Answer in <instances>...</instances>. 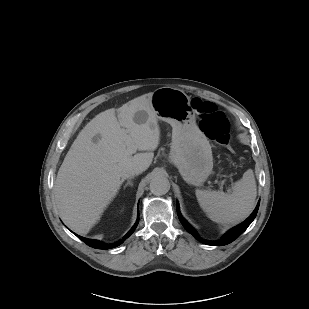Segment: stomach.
Returning <instances> with one entry per match:
<instances>
[{"mask_svg":"<svg viewBox=\"0 0 309 309\" xmlns=\"http://www.w3.org/2000/svg\"><path fill=\"white\" fill-rule=\"evenodd\" d=\"M151 105L157 118L172 126L170 161L187 183L201 185L211 173L213 157L209 141L196 125L189 96L177 88L161 87L152 93Z\"/></svg>","mask_w":309,"mask_h":309,"instance_id":"0dacf381","label":"stomach"}]
</instances>
